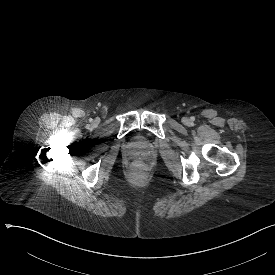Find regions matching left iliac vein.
I'll return each mask as SVG.
<instances>
[{"instance_id": "1", "label": "left iliac vein", "mask_w": 275, "mask_h": 275, "mask_svg": "<svg viewBox=\"0 0 275 275\" xmlns=\"http://www.w3.org/2000/svg\"><path fill=\"white\" fill-rule=\"evenodd\" d=\"M183 123L184 124H188L189 123V119L188 118H184Z\"/></svg>"}]
</instances>
